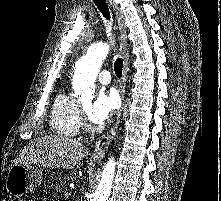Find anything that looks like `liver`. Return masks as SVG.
Returning a JSON list of instances; mask_svg holds the SVG:
<instances>
[{"label":"liver","mask_w":221,"mask_h":201,"mask_svg":"<svg viewBox=\"0 0 221 201\" xmlns=\"http://www.w3.org/2000/svg\"><path fill=\"white\" fill-rule=\"evenodd\" d=\"M87 154L88 149L76 139L46 135L30 142L14 163L71 169Z\"/></svg>","instance_id":"1"}]
</instances>
